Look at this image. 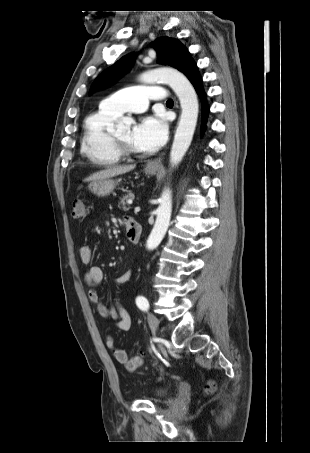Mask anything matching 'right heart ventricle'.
I'll use <instances>...</instances> for the list:
<instances>
[{
    "label": "right heart ventricle",
    "instance_id": "obj_1",
    "mask_svg": "<svg viewBox=\"0 0 310 453\" xmlns=\"http://www.w3.org/2000/svg\"><path fill=\"white\" fill-rule=\"evenodd\" d=\"M102 106L89 114L83 124L81 153L95 166L109 167L118 164L122 157L111 144V129L118 118Z\"/></svg>",
    "mask_w": 310,
    "mask_h": 453
}]
</instances>
